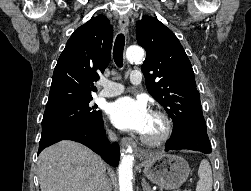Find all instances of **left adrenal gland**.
<instances>
[{
	"label": "left adrenal gland",
	"mask_w": 251,
	"mask_h": 191,
	"mask_svg": "<svg viewBox=\"0 0 251 191\" xmlns=\"http://www.w3.org/2000/svg\"><path fill=\"white\" fill-rule=\"evenodd\" d=\"M142 185H143V191H152L149 183H147L146 179L142 177Z\"/></svg>",
	"instance_id": "left-adrenal-gland-1"
}]
</instances>
